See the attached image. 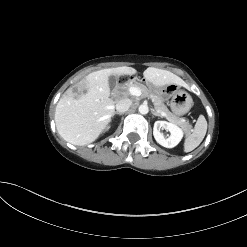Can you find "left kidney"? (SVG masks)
Here are the masks:
<instances>
[{"instance_id": "1", "label": "left kidney", "mask_w": 247, "mask_h": 247, "mask_svg": "<svg viewBox=\"0 0 247 247\" xmlns=\"http://www.w3.org/2000/svg\"><path fill=\"white\" fill-rule=\"evenodd\" d=\"M161 128L168 130L171 135L168 138H164L163 134L160 132ZM153 135L157 143L160 145L166 148H173L178 145L183 138V131L173 123L167 121H156L153 127Z\"/></svg>"}]
</instances>
